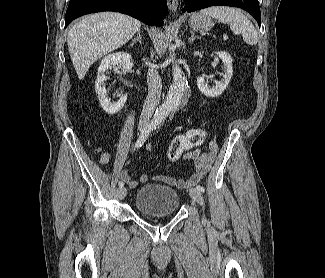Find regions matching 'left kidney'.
<instances>
[{
  "mask_svg": "<svg viewBox=\"0 0 325 278\" xmlns=\"http://www.w3.org/2000/svg\"><path fill=\"white\" fill-rule=\"evenodd\" d=\"M218 57L222 60L224 65V75L221 81H215V86L210 87L204 80L203 77L197 78V86L202 94L207 97H218L223 93V91L227 88L232 73V58L227 52H217Z\"/></svg>",
  "mask_w": 325,
  "mask_h": 278,
  "instance_id": "obj_1",
  "label": "left kidney"
}]
</instances>
